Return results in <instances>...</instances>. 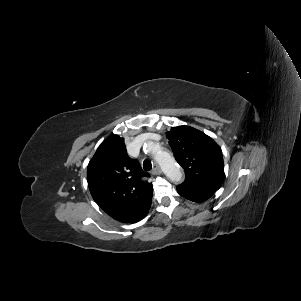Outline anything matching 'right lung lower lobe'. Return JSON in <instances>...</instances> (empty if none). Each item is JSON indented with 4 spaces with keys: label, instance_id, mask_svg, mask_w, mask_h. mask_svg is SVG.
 Returning a JSON list of instances; mask_svg holds the SVG:
<instances>
[{
    "label": "right lung lower lobe",
    "instance_id": "98d812e1",
    "mask_svg": "<svg viewBox=\"0 0 301 301\" xmlns=\"http://www.w3.org/2000/svg\"><path fill=\"white\" fill-rule=\"evenodd\" d=\"M151 206V205H150ZM150 208V207H149ZM149 208L147 209V211L137 220V221H135V222H138L139 220H141L143 217H145V215L147 214V212H148V210H149ZM134 222V223H135Z\"/></svg>",
    "mask_w": 301,
    "mask_h": 301
}]
</instances>
